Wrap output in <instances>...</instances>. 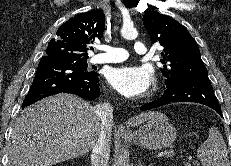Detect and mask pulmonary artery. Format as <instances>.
I'll list each match as a JSON object with an SVG mask.
<instances>
[{"mask_svg": "<svg viewBox=\"0 0 231 166\" xmlns=\"http://www.w3.org/2000/svg\"><path fill=\"white\" fill-rule=\"evenodd\" d=\"M103 53L97 54L92 57L91 62L94 64L101 63H116L126 60L129 57V53L126 49L114 46H102ZM134 50L136 53L144 55L147 53V47L140 41H136L134 44Z\"/></svg>", "mask_w": 231, "mask_h": 166, "instance_id": "e3ab8cb5", "label": "pulmonary artery"}]
</instances>
